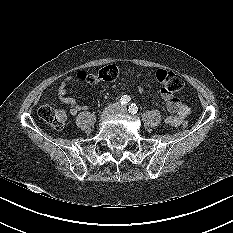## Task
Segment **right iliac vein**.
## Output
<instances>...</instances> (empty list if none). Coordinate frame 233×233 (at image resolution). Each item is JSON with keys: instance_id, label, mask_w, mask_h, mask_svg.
I'll list each match as a JSON object with an SVG mask.
<instances>
[{"instance_id": "obj_1", "label": "right iliac vein", "mask_w": 233, "mask_h": 233, "mask_svg": "<svg viewBox=\"0 0 233 233\" xmlns=\"http://www.w3.org/2000/svg\"><path fill=\"white\" fill-rule=\"evenodd\" d=\"M118 109H119V106L117 104H112V105L108 106L102 112L101 119L104 120V119L110 117L111 115L116 113Z\"/></svg>"}]
</instances>
